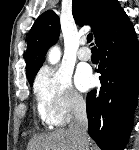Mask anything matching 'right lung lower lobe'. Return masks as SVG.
Masks as SVG:
<instances>
[{"label": "right lung lower lobe", "instance_id": "98d812e1", "mask_svg": "<svg viewBox=\"0 0 139 150\" xmlns=\"http://www.w3.org/2000/svg\"><path fill=\"white\" fill-rule=\"evenodd\" d=\"M101 88L87 94L88 132L102 150H123L139 93V43L122 11L96 43Z\"/></svg>", "mask_w": 139, "mask_h": 150}]
</instances>
